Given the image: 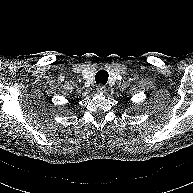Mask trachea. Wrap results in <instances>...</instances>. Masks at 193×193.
<instances>
[{"label":"trachea","mask_w":193,"mask_h":193,"mask_svg":"<svg viewBox=\"0 0 193 193\" xmlns=\"http://www.w3.org/2000/svg\"><path fill=\"white\" fill-rule=\"evenodd\" d=\"M109 74L106 70H100L95 75L96 83L106 84L108 81Z\"/></svg>","instance_id":"obj_1"}]
</instances>
